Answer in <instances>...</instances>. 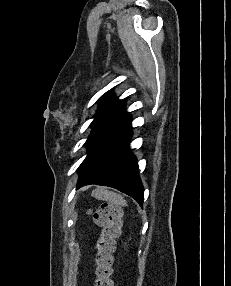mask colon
I'll return each mask as SVG.
<instances>
[{"label":"colon","instance_id":"5ec220e1","mask_svg":"<svg viewBox=\"0 0 231 286\" xmlns=\"http://www.w3.org/2000/svg\"><path fill=\"white\" fill-rule=\"evenodd\" d=\"M94 222L101 228L97 240L95 286H113V253L120 234L121 210L112 203H103L91 211Z\"/></svg>","mask_w":231,"mask_h":286}]
</instances>
